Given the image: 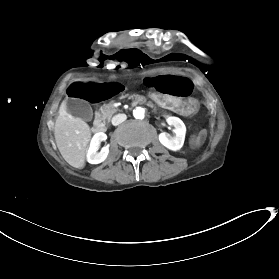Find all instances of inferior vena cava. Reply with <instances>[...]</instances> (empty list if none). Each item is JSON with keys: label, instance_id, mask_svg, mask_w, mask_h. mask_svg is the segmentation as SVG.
Returning a JSON list of instances; mask_svg holds the SVG:
<instances>
[{"label": "inferior vena cava", "instance_id": "obj_1", "mask_svg": "<svg viewBox=\"0 0 279 279\" xmlns=\"http://www.w3.org/2000/svg\"><path fill=\"white\" fill-rule=\"evenodd\" d=\"M125 119H126V115L119 114V115L113 117L112 124L113 125H118V124L122 123Z\"/></svg>", "mask_w": 279, "mask_h": 279}]
</instances>
